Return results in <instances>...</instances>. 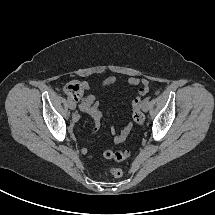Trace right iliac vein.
Segmentation results:
<instances>
[{"label":"right iliac vein","mask_w":215,"mask_h":215,"mask_svg":"<svg viewBox=\"0 0 215 215\" xmlns=\"http://www.w3.org/2000/svg\"><path fill=\"white\" fill-rule=\"evenodd\" d=\"M69 108H70L71 110H75L76 104H75L73 101H69Z\"/></svg>","instance_id":"1"}]
</instances>
